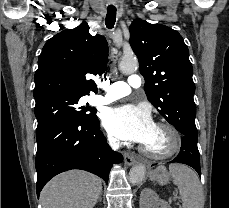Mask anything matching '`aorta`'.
Instances as JSON below:
<instances>
[{"label":"aorta","instance_id":"aorta-1","mask_svg":"<svg viewBox=\"0 0 229 208\" xmlns=\"http://www.w3.org/2000/svg\"><path fill=\"white\" fill-rule=\"evenodd\" d=\"M138 62L135 58H123L120 62L119 68L125 74L133 73L137 69ZM146 174V168L142 164H138L129 172V181L132 185H137L143 181Z\"/></svg>","mask_w":229,"mask_h":208}]
</instances>
